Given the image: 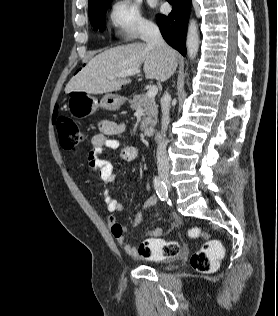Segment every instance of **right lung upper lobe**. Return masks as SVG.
<instances>
[{
  "mask_svg": "<svg viewBox=\"0 0 278 316\" xmlns=\"http://www.w3.org/2000/svg\"><path fill=\"white\" fill-rule=\"evenodd\" d=\"M105 0H89V10Z\"/></svg>",
  "mask_w": 278,
  "mask_h": 316,
  "instance_id": "obj_1",
  "label": "right lung upper lobe"
}]
</instances>
